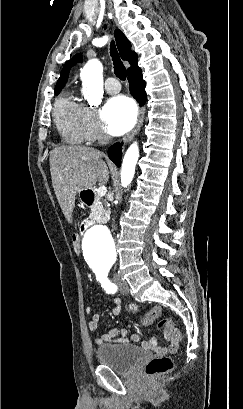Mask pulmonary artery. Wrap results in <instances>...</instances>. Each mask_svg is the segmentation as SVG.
Segmentation results:
<instances>
[{
  "mask_svg": "<svg viewBox=\"0 0 243 409\" xmlns=\"http://www.w3.org/2000/svg\"><path fill=\"white\" fill-rule=\"evenodd\" d=\"M105 89L108 93L110 94H115L118 93L121 89V86L119 84V82L113 78V77H109L106 81H105Z\"/></svg>",
  "mask_w": 243,
  "mask_h": 409,
  "instance_id": "1",
  "label": "pulmonary artery"
}]
</instances>
